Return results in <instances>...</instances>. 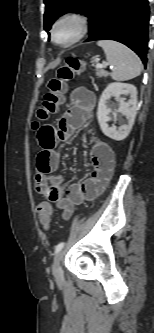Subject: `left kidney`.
<instances>
[{"instance_id": "1", "label": "left kidney", "mask_w": 154, "mask_h": 333, "mask_svg": "<svg viewBox=\"0 0 154 333\" xmlns=\"http://www.w3.org/2000/svg\"><path fill=\"white\" fill-rule=\"evenodd\" d=\"M121 95H130V99L126 102ZM111 97H115L119 101L117 110L112 111V106L109 105ZM137 111V89L134 85L128 83L114 82L110 83L103 91L97 108V119L102 132L109 138L121 141L124 140L130 133ZM113 113V117L110 114ZM117 113H121L126 117V122L120 121L121 125L116 127L114 124L109 125V122L117 121Z\"/></svg>"}]
</instances>
